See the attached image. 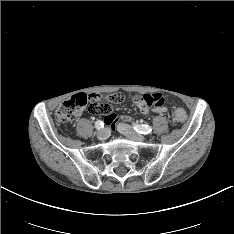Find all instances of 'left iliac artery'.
<instances>
[{"label":"left iliac artery","mask_w":234,"mask_h":234,"mask_svg":"<svg viewBox=\"0 0 234 234\" xmlns=\"http://www.w3.org/2000/svg\"><path fill=\"white\" fill-rule=\"evenodd\" d=\"M134 130L141 134H148L152 131V127L145 124H133Z\"/></svg>","instance_id":"44dca946"}]
</instances>
